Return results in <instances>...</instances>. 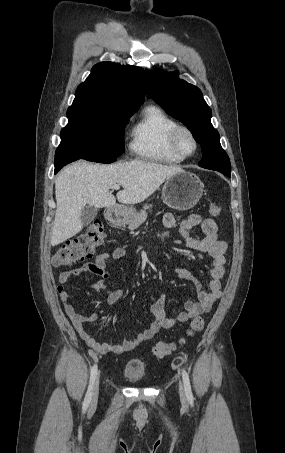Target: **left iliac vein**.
<instances>
[{"label":"left iliac vein","mask_w":285,"mask_h":453,"mask_svg":"<svg viewBox=\"0 0 285 453\" xmlns=\"http://www.w3.org/2000/svg\"><path fill=\"white\" fill-rule=\"evenodd\" d=\"M179 396L182 401V403H186V396L184 392V388L181 382H179Z\"/></svg>","instance_id":"obj_1"}]
</instances>
